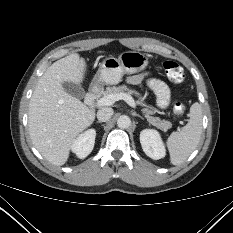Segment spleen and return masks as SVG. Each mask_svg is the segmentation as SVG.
<instances>
[{
    "mask_svg": "<svg viewBox=\"0 0 233 233\" xmlns=\"http://www.w3.org/2000/svg\"><path fill=\"white\" fill-rule=\"evenodd\" d=\"M202 134V109L199 103L190 108V119L181 130L171 133L167 140L170 161L182 164L195 150Z\"/></svg>",
    "mask_w": 233,
    "mask_h": 233,
    "instance_id": "obj_1",
    "label": "spleen"
}]
</instances>
